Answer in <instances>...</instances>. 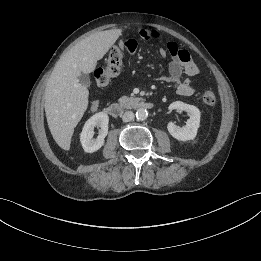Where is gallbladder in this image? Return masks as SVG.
I'll return each mask as SVG.
<instances>
[{"mask_svg":"<svg viewBox=\"0 0 261 261\" xmlns=\"http://www.w3.org/2000/svg\"><path fill=\"white\" fill-rule=\"evenodd\" d=\"M78 79L81 85L86 87L90 85V78L87 74H81Z\"/></svg>","mask_w":261,"mask_h":261,"instance_id":"bac80fb5","label":"gallbladder"}]
</instances>
